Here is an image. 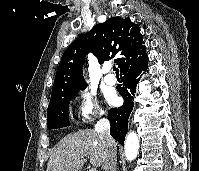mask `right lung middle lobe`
<instances>
[{
  "label": "right lung middle lobe",
  "instance_id": "1",
  "mask_svg": "<svg viewBox=\"0 0 199 171\" xmlns=\"http://www.w3.org/2000/svg\"><path fill=\"white\" fill-rule=\"evenodd\" d=\"M75 94L48 106L47 127L49 129L63 128L69 125V116H68L69 102L74 97Z\"/></svg>",
  "mask_w": 199,
  "mask_h": 171
}]
</instances>
